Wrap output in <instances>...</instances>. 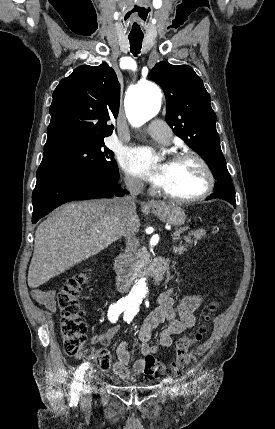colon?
I'll use <instances>...</instances> for the list:
<instances>
[{
  "mask_svg": "<svg viewBox=\"0 0 275 429\" xmlns=\"http://www.w3.org/2000/svg\"><path fill=\"white\" fill-rule=\"evenodd\" d=\"M88 280L86 272L79 273L66 281L57 294V303L61 315V335L65 352L76 359L83 356L86 344L87 326L82 320V311L78 296ZM218 303H212L204 316L203 324L193 333L179 339L176 345V361L174 367L180 369L190 362V348L199 342L206 332V325L212 314L218 309ZM99 368L106 370L111 365V356L107 349L100 348L94 354ZM158 363L150 358L146 363V374H153Z\"/></svg>",
  "mask_w": 275,
  "mask_h": 429,
  "instance_id": "obj_1",
  "label": "colon"
}]
</instances>
